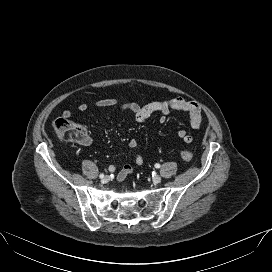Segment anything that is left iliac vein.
<instances>
[{"label": "left iliac vein", "instance_id": "4c4485c4", "mask_svg": "<svg viewBox=\"0 0 272 272\" xmlns=\"http://www.w3.org/2000/svg\"><path fill=\"white\" fill-rule=\"evenodd\" d=\"M152 181L154 184H158L161 182V177L159 175H154Z\"/></svg>", "mask_w": 272, "mask_h": 272}]
</instances>
